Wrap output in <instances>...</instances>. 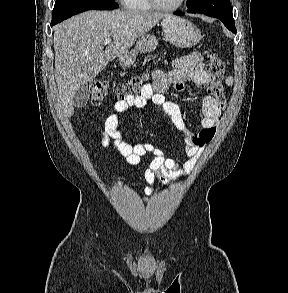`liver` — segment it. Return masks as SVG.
Returning a JSON list of instances; mask_svg holds the SVG:
<instances>
[{
  "mask_svg": "<svg viewBox=\"0 0 288 293\" xmlns=\"http://www.w3.org/2000/svg\"><path fill=\"white\" fill-rule=\"evenodd\" d=\"M168 15L140 11H86L54 27L55 80L67 117L74 113L73 97L117 57L127 53L137 38ZM113 39L106 49L104 39Z\"/></svg>",
  "mask_w": 288,
  "mask_h": 293,
  "instance_id": "1",
  "label": "liver"
}]
</instances>
